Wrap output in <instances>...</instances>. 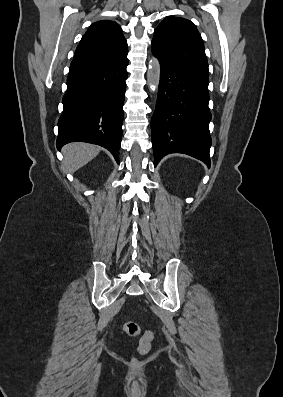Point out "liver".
Here are the masks:
<instances>
[{
    "mask_svg": "<svg viewBox=\"0 0 283 397\" xmlns=\"http://www.w3.org/2000/svg\"><path fill=\"white\" fill-rule=\"evenodd\" d=\"M63 166L67 173H74L79 168L94 159L100 152V147L83 142L67 144L62 149Z\"/></svg>",
    "mask_w": 283,
    "mask_h": 397,
    "instance_id": "liver-1",
    "label": "liver"
}]
</instances>
